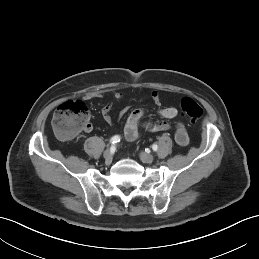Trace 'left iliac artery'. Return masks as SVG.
Segmentation results:
<instances>
[{
    "label": "left iliac artery",
    "mask_w": 259,
    "mask_h": 259,
    "mask_svg": "<svg viewBox=\"0 0 259 259\" xmlns=\"http://www.w3.org/2000/svg\"><path fill=\"white\" fill-rule=\"evenodd\" d=\"M152 149H153L154 151H157L158 146H157L156 144H153V145H152Z\"/></svg>",
    "instance_id": "obj_1"
}]
</instances>
